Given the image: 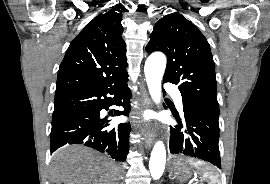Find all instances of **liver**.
I'll return each mask as SVG.
<instances>
[{
  "mask_svg": "<svg viewBox=\"0 0 270 184\" xmlns=\"http://www.w3.org/2000/svg\"><path fill=\"white\" fill-rule=\"evenodd\" d=\"M118 166L96 151L65 146L56 152L50 171L52 184H117Z\"/></svg>",
  "mask_w": 270,
  "mask_h": 184,
  "instance_id": "1",
  "label": "liver"
}]
</instances>
